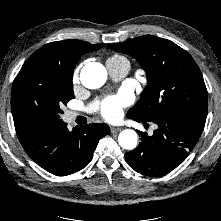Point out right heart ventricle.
Returning <instances> with one entry per match:
<instances>
[{"instance_id": "e07e8e85", "label": "right heart ventricle", "mask_w": 221, "mask_h": 221, "mask_svg": "<svg viewBox=\"0 0 221 221\" xmlns=\"http://www.w3.org/2000/svg\"><path fill=\"white\" fill-rule=\"evenodd\" d=\"M109 59H113V60H127L124 56L117 55V54L111 56Z\"/></svg>"}]
</instances>
